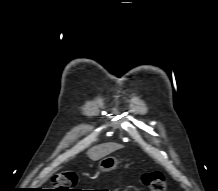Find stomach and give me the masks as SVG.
<instances>
[{
    "label": "stomach",
    "mask_w": 218,
    "mask_h": 191,
    "mask_svg": "<svg viewBox=\"0 0 218 191\" xmlns=\"http://www.w3.org/2000/svg\"><path fill=\"white\" fill-rule=\"evenodd\" d=\"M119 161L112 156L105 157L99 162V169L108 172L117 168Z\"/></svg>",
    "instance_id": "1"
}]
</instances>
